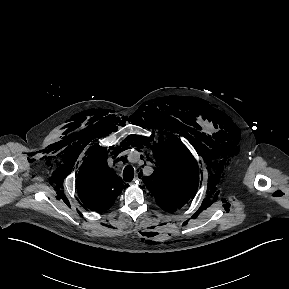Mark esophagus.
<instances>
[{
	"label": "esophagus",
	"mask_w": 289,
	"mask_h": 289,
	"mask_svg": "<svg viewBox=\"0 0 289 289\" xmlns=\"http://www.w3.org/2000/svg\"><path fill=\"white\" fill-rule=\"evenodd\" d=\"M139 182H140V178H139V176L137 175V176H135V178H134V180H133V183L138 184Z\"/></svg>",
	"instance_id": "34e87169"
}]
</instances>
